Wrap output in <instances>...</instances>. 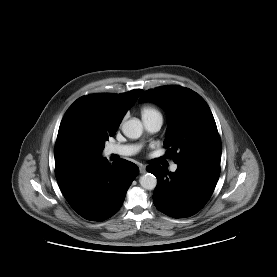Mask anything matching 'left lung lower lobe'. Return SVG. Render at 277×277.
Listing matches in <instances>:
<instances>
[{
    "label": "left lung lower lobe",
    "mask_w": 277,
    "mask_h": 277,
    "mask_svg": "<svg viewBox=\"0 0 277 277\" xmlns=\"http://www.w3.org/2000/svg\"><path fill=\"white\" fill-rule=\"evenodd\" d=\"M177 165L174 173L161 166L147 167L158 179L153 202L168 216L190 217L210 199L220 175V158L202 157Z\"/></svg>",
    "instance_id": "0a47b994"
}]
</instances>
